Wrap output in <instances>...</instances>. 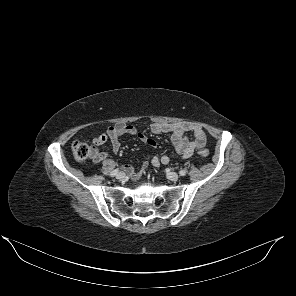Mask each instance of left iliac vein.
<instances>
[{
  "label": "left iliac vein",
  "instance_id": "1",
  "mask_svg": "<svg viewBox=\"0 0 296 296\" xmlns=\"http://www.w3.org/2000/svg\"><path fill=\"white\" fill-rule=\"evenodd\" d=\"M167 178L171 181H177L179 178V175L176 172H167Z\"/></svg>",
  "mask_w": 296,
  "mask_h": 296
}]
</instances>
